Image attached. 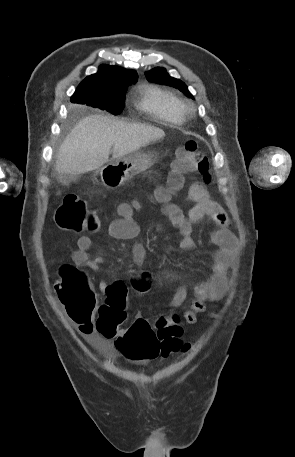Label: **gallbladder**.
<instances>
[{
  "label": "gallbladder",
  "instance_id": "bac80fb5",
  "mask_svg": "<svg viewBox=\"0 0 295 457\" xmlns=\"http://www.w3.org/2000/svg\"><path fill=\"white\" fill-rule=\"evenodd\" d=\"M56 178L61 184L68 185L70 183V181L74 179V176L67 175V174H62V173H57L56 174Z\"/></svg>",
  "mask_w": 295,
  "mask_h": 457
}]
</instances>
